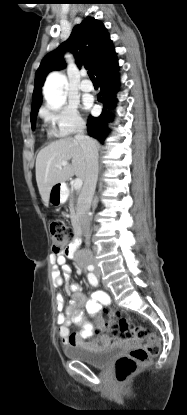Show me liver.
<instances>
[{"label": "liver", "mask_w": 187, "mask_h": 415, "mask_svg": "<svg viewBox=\"0 0 187 415\" xmlns=\"http://www.w3.org/2000/svg\"><path fill=\"white\" fill-rule=\"evenodd\" d=\"M94 142L98 147V142ZM69 160L71 164L57 167L58 163ZM85 170L83 149L75 138L59 139L44 147L36 158V181L44 205H48L50 191L54 185L67 181L73 175L84 180Z\"/></svg>", "instance_id": "obj_1"}]
</instances>
